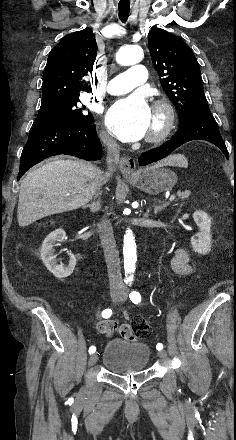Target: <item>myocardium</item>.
<instances>
[{
  "label": "myocardium",
  "mask_w": 236,
  "mask_h": 440,
  "mask_svg": "<svg viewBox=\"0 0 236 440\" xmlns=\"http://www.w3.org/2000/svg\"><path fill=\"white\" fill-rule=\"evenodd\" d=\"M153 113L155 124L147 135V141L158 143L172 132L175 124V110L168 100L158 99L154 102Z\"/></svg>",
  "instance_id": "1"
}]
</instances>
